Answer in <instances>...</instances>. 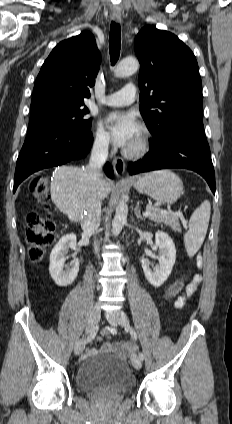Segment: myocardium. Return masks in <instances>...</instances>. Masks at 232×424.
<instances>
[{
    "instance_id": "f54148a6",
    "label": "myocardium",
    "mask_w": 232,
    "mask_h": 424,
    "mask_svg": "<svg viewBox=\"0 0 232 424\" xmlns=\"http://www.w3.org/2000/svg\"><path fill=\"white\" fill-rule=\"evenodd\" d=\"M150 145V133L147 128L141 127L140 137L137 143L133 146L126 147L123 151V154L128 158H140L149 151Z\"/></svg>"
}]
</instances>
